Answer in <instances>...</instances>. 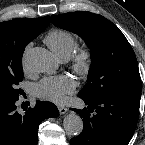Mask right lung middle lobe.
<instances>
[{
    "instance_id": "dd1d6c3e",
    "label": "right lung middle lobe",
    "mask_w": 145,
    "mask_h": 145,
    "mask_svg": "<svg viewBox=\"0 0 145 145\" xmlns=\"http://www.w3.org/2000/svg\"><path fill=\"white\" fill-rule=\"evenodd\" d=\"M23 77L22 61L10 68L0 69V100H18L22 90H17V85Z\"/></svg>"
}]
</instances>
